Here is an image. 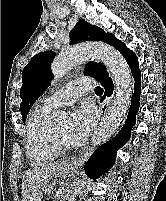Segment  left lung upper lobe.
Segmentation results:
<instances>
[{
  "mask_svg": "<svg viewBox=\"0 0 166 201\" xmlns=\"http://www.w3.org/2000/svg\"><path fill=\"white\" fill-rule=\"evenodd\" d=\"M71 44H76L84 41H103L119 52H122L126 45L118 40L114 34L105 33L101 28L91 25L83 19H80L72 31L70 32ZM55 57V53L51 51L40 52L29 61L22 72L23 85L20 90L22 102L20 111L23 117V122L26 120L27 113L38 99V97L50 85L52 77L51 62ZM108 74L103 64L89 62L86 65L85 75H90L96 79Z\"/></svg>",
  "mask_w": 166,
  "mask_h": 201,
  "instance_id": "5c2ea615",
  "label": "left lung upper lobe"
}]
</instances>
